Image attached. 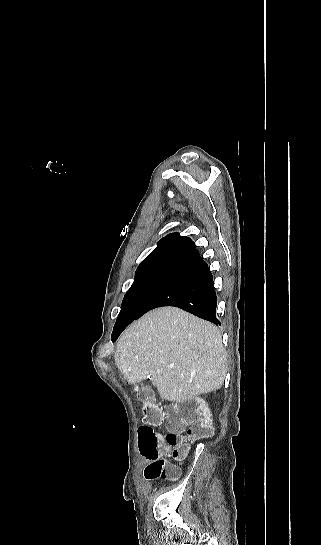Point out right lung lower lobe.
I'll return each mask as SVG.
<instances>
[{
    "label": "right lung lower lobe",
    "instance_id": "98d812e1",
    "mask_svg": "<svg viewBox=\"0 0 321 545\" xmlns=\"http://www.w3.org/2000/svg\"><path fill=\"white\" fill-rule=\"evenodd\" d=\"M217 298L214 281L208 265L200 255L175 269L167 280L146 302L140 312L129 320L115 323L112 341L134 320L151 309L162 306H175L202 319L219 325L216 318Z\"/></svg>",
    "mask_w": 321,
    "mask_h": 545
}]
</instances>
